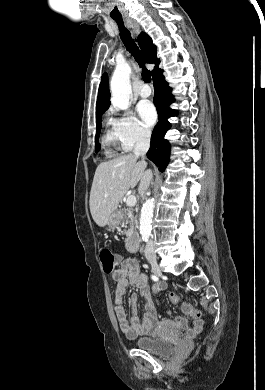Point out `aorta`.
I'll return each mask as SVG.
<instances>
[{"instance_id":"1","label":"aorta","mask_w":265,"mask_h":390,"mask_svg":"<svg viewBox=\"0 0 265 390\" xmlns=\"http://www.w3.org/2000/svg\"><path fill=\"white\" fill-rule=\"evenodd\" d=\"M131 67L127 63L118 64L111 78V102L114 106L125 110L129 106L131 91ZM154 199L149 198L143 204L140 215V234L143 241H148L152 230Z\"/></svg>"}]
</instances>
